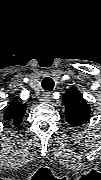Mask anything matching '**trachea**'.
<instances>
[{"mask_svg": "<svg viewBox=\"0 0 101 180\" xmlns=\"http://www.w3.org/2000/svg\"><path fill=\"white\" fill-rule=\"evenodd\" d=\"M42 88L45 91H52L53 87H54V81L52 78L50 77H45L42 82H41Z\"/></svg>", "mask_w": 101, "mask_h": 180, "instance_id": "trachea-1", "label": "trachea"}]
</instances>
